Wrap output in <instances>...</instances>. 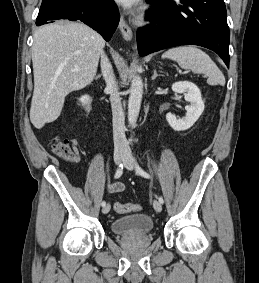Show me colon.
Returning <instances> with one entry per match:
<instances>
[{
  "instance_id": "obj_1",
  "label": "colon",
  "mask_w": 259,
  "mask_h": 283,
  "mask_svg": "<svg viewBox=\"0 0 259 283\" xmlns=\"http://www.w3.org/2000/svg\"><path fill=\"white\" fill-rule=\"evenodd\" d=\"M54 151L59 157L67 161H72L76 158V155L73 151V147L67 139L56 138L54 144ZM114 210L119 214H126L140 211L141 206L134 203H115Z\"/></svg>"
}]
</instances>
